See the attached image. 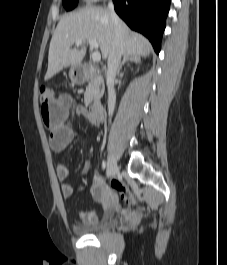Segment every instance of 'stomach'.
<instances>
[{"label": "stomach", "instance_id": "0dacf381", "mask_svg": "<svg viewBox=\"0 0 227 265\" xmlns=\"http://www.w3.org/2000/svg\"><path fill=\"white\" fill-rule=\"evenodd\" d=\"M69 78L73 83H81L83 81V74L79 66H74L70 68Z\"/></svg>", "mask_w": 227, "mask_h": 265}]
</instances>
